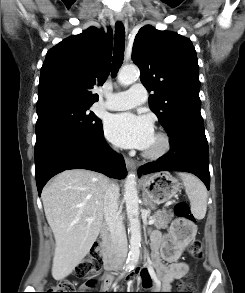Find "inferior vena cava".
Wrapping results in <instances>:
<instances>
[{
  "instance_id": "1",
  "label": "inferior vena cava",
  "mask_w": 245,
  "mask_h": 293,
  "mask_svg": "<svg viewBox=\"0 0 245 293\" xmlns=\"http://www.w3.org/2000/svg\"><path fill=\"white\" fill-rule=\"evenodd\" d=\"M119 186L110 184L104 196V218L110 231L112 250L117 257H125L128 252L127 237L122 216L118 208Z\"/></svg>"
}]
</instances>
